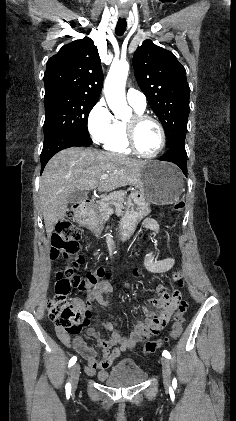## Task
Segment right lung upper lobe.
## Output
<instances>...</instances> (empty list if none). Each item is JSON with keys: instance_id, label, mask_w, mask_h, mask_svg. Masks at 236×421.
I'll use <instances>...</instances> for the list:
<instances>
[{"instance_id": "1", "label": "right lung upper lobe", "mask_w": 236, "mask_h": 421, "mask_svg": "<svg viewBox=\"0 0 236 421\" xmlns=\"http://www.w3.org/2000/svg\"><path fill=\"white\" fill-rule=\"evenodd\" d=\"M102 84L98 50L88 37L64 45L47 62L45 92L64 91L98 99Z\"/></svg>"}]
</instances>
